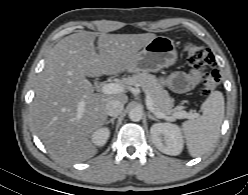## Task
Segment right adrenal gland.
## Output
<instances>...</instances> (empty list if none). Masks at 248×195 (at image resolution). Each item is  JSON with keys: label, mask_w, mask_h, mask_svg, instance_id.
Here are the masks:
<instances>
[{"label": "right adrenal gland", "mask_w": 248, "mask_h": 195, "mask_svg": "<svg viewBox=\"0 0 248 195\" xmlns=\"http://www.w3.org/2000/svg\"><path fill=\"white\" fill-rule=\"evenodd\" d=\"M116 118H117V117H113V118H111L110 120H107V121L105 122V124L108 125L109 123H112V125H114V121H115Z\"/></svg>", "instance_id": "2a0ac1e0"}]
</instances>
